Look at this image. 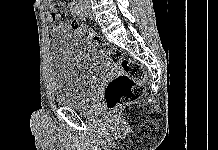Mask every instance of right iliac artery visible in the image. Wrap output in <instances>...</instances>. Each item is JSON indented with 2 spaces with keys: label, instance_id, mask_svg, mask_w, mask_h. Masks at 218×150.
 I'll use <instances>...</instances> for the list:
<instances>
[{
  "label": "right iliac artery",
  "instance_id": "1",
  "mask_svg": "<svg viewBox=\"0 0 218 150\" xmlns=\"http://www.w3.org/2000/svg\"><path fill=\"white\" fill-rule=\"evenodd\" d=\"M78 15L81 19H85V15L83 13V8L82 7H78Z\"/></svg>",
  "mask_w": 218,
  "mask_h": 150
}]
</instances>
